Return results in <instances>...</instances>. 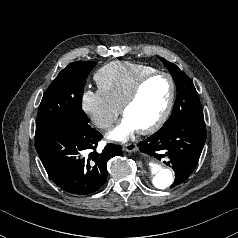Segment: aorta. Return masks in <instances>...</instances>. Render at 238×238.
<instances>
[{
  "instance_id": "762f6f07",
  "label": "aorta",
  "mask_w": 238,
  "mask_h": 238,
  "mask_svg": "<svg viewBox=\"0 0 238 238\" xmlns=\"http://www.w3.org/2000/svg\"><path fill=\"white\" fill-rule=\"evenodd\" d=\"M146 165L150 172L152 183L158 189H167L173 182L171 170L163 167L153 158H146Z\"/></svg>"
}]
</instances>
